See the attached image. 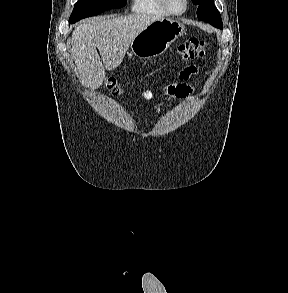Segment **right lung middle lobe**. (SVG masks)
Segmentation results:
<instances>
[{"mask_svg": "<svg viewBox=\"0 0 288 293\" xmlns=\"http://www.w3.org/2000/svg\"><path fill=\"white\" fill-rule=\"evenodd\" d=\"M127 0H78L69 18L73 24L83 18L98 15L106 10L121 8Z\"/></svg>", "mask_w": 288, "mask_h": 293, "instance_id": "right-lung-middle-lobe-1", "label": "right lung middle lobe"}]
</instances>
